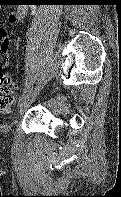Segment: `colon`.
Wrapping results in <instances>:
<instances>
[{
  "instance_id": "colon-1",
  "label": "colon",
  "mask_w": 121,
  "mask_h": 197,
  "mask_svg": "<svg viewBox=\"0 0 121 197\" xmlns=\"http://www.w3.org/2000/svg\"><path fill=\"white\" fill-rule=\"evenodd\" d=\"M16 86L11 77L0 69V111L11 109Z\"/></svg>"
}]
</instances>
